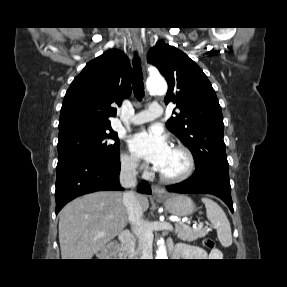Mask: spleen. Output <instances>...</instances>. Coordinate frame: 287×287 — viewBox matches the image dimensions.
Masks as SVG:
<instances>
[{"label":"spleen","instance_id":"3e777b00","mask_svg":"<svg viewBox=\"0 0 287 287\" xmlns=\"http://www.w3.org/2000/svg\"><path fill=\"white\" fill-rule=\"evenodd\" d=\"M202 202L206 207L208 220L217 230L218 239L222 246L229 247L232 244V233L230 222L223 209L213 200L202 198Z\"/></svg>","mask_w":287,"mask_h":287}]
</instances>
